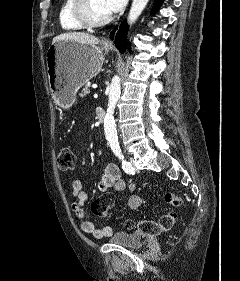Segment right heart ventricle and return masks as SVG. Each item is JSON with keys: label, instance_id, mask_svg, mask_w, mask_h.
Instances as JSON below:
<instances>
[{"label": "right heart ventricle", "instance_id": "right-heart-ventricle-1", "mask_svg": "<svg viewBox=\"0 0 240 281\" xmlns=\"http://www.w3.org/2000/svg\"><path fill=\"white\" fill-rule=\"evenodd\" d=\"M73 3L74 0H64L59 10V23L65 31H79L85 28L72 15Z\"/></svg>", "mask_w": 240, "mask_h": 281}]
</instances>
